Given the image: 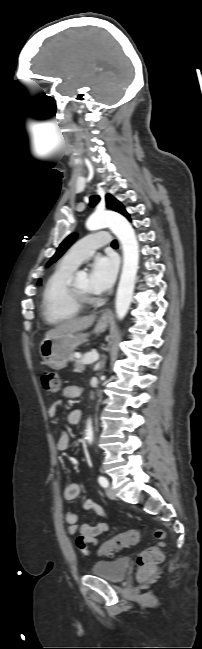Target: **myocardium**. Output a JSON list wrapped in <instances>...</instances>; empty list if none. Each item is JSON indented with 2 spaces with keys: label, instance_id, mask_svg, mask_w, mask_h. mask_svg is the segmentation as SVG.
Here are the masks:
<instances>
[{
  "label": "myocardium",
  "instance_id": "f54148a6",
  "mask_svg": "<svg viewBox=\"0 0 202 649\" xmlns=\"http://www.w3.org/2000/svg\"><path fill=\"white\" fill-rule=\"evenodd\" d=\"M69 294L72 300L81 308L91 306L95 303V299L91 293H85L77 287L75 278H72L69 282Z\"/></svg>",
  "mask_w": 202,
  "mask_h": 649
}]
</instances>
